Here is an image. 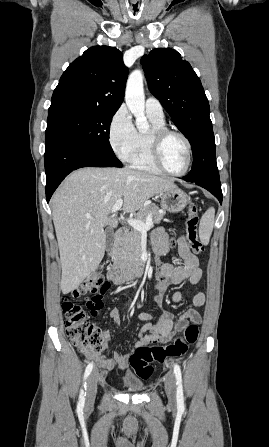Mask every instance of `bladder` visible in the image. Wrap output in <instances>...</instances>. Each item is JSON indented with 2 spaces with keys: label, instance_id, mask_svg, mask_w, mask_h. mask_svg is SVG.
I'll return each instance as SVG.
<instances>
[{
  "label": "bladder",
  "instance_id": "bladder-1",
  "mask_svg": "<svg viewBox=\"0 0 269 447\" xmlns=\"http://www.w3.org/2000/svg\"><path fill=\"white\" fill-rule=\"evenodd\" d=\"M120 384L126 392L134 394H142L145 390L144 381L135 372L122 374Z\"/></svg>",
  "mask_w": 269,
  "mask_h": 447
}]
</instances>
